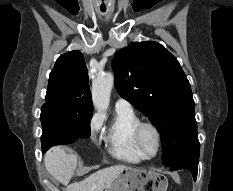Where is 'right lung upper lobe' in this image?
I'll return each mask as SVG.
<instances>
[{
    "label": "right lung upper lobe",
    "instance_id": "cb5924a9",
    "mask_svg": "<svg viewBox=\"0 0 233 191\" xmlns=\"http://www.w3.org/2000/svg\"><path fill=\"white\" fill-rule=\"evenodd\" d=\"M88 71L80 51L61 55L49 75L46 103L73 110H92Z\"/></svg>",
    "mask_w": 233,
    "mask_h": 191
}]
</instances>
